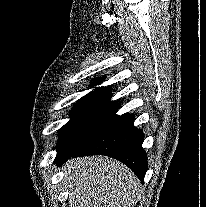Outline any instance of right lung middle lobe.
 I'll use <instances>...</instances> for the list:
<instances>
[{"instance_id":"1","label":"right lung middle lobe","mask_w":206,"mask_h":207,"mask_svg":"<svg viewBox=\"0 0 206 207\" xmlns=\"http://www.w3.org/2000/svg\"><path fill=\"white\" fill-rule=\"evenodd\" d=\"M118 109L109 99L78 100L70 112V121L60 129L57 150L82 146L119 117Z\"/></svg>"}]
</instances>
